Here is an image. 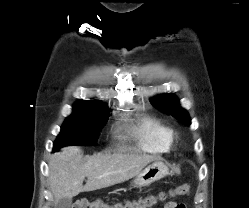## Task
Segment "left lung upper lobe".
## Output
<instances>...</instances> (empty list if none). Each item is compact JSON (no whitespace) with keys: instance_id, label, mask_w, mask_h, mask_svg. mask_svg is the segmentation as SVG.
Segmentation results:
<instances>
[{"instance_id":"left-lung-upper-lobe-1","label":"left lung upper lobe","mask_w":249,"mask_h":208,"mask_svg":"<svg viewBox=\"0 0 249 208\" xmlns=\"http://www.w3.org/2000/svg\"><path fill=\"white\" fill-rule=\"evenodd\" d=\"M151 104L159 110L171 114L179 121L190 125L191 120L188 113L179 107V101L173 94H164L153 97Z\"/></svg>"}]
</instances>
